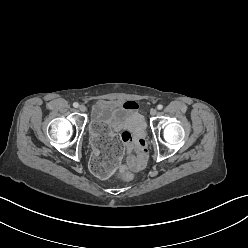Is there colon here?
<instances>
[{
	"instance_id": "colon-1",
	"label": "colon",
	"mask_w": 248,
	"mask_h": 248,
	"mask_svg": "<svg viewBox=\"0 0 248 248\" xmlns=\"http://www.w3.org/2000/svg\"><path fill=\"white\" fill-rule=\"evenodd\" d=\"M92 131L94 133L91 142L97 148V154L93 156L90 167L95 174L106 176L108 171L116 170L122 165V141L113 129L103 122L93 123ZM119 177L127 183L133 180V175L129 172L122 171Z\"/></svg>"
}]
</instances>
